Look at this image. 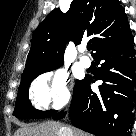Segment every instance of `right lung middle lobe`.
I'll return each mask as SVG.
<instances>
[{
  "mask_svg": "<svg viewBox=\"0 0 136 136\" xmlns=\"http://www.w3.org/2000/svg\"><path fill=\"white\" fill-rule=\"evenodd\" d=\"M60 66H56V67H53L51 69H48V70H45L42 72L34 73V74H31V75L21 79V83L19 86L18 95H17V99H16V104H15V109L13 112V115L15 117H17L19 119H22V118H48L56 113L55 110L44 112V111H37V110L33 109V107L31 106V103L29 101V98H28V90H29L30 83L38 75H40L44 72H48V71L54 70L56 68H59ZM79 82H80L79 80L76 81L74 90L78 86Z\"/></svg>",
  "mask_w": 136,
  "mask_h": 136,
  "instance_id": "dd1d6c3e",
  "label": "right lung middle lobe"
}]
</instances>
